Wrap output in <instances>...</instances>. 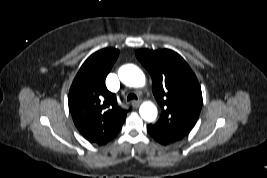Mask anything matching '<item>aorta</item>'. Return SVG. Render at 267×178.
Wrapping results in <instances>:
<instances>
[{
	"mask_svg": "<svg viewBox=\"0 0 267 178\" xmlns=\"http://www.w3.org/2000/svg\"><path fill=\"white\" fill-rule=\"evenodd\" d=\"M118 76L122 83L129 87H142L145 84V75L137 66L126 64L120 67ZM140 116L147 122L157 117V108L152 102H144L139 109Z\"/></svg>",
	"mask_w": 267,
	"mask_h": 178,
	"instance_id": "obj_1",
	"label": "aorta"
}]
</instances>
